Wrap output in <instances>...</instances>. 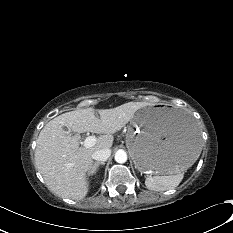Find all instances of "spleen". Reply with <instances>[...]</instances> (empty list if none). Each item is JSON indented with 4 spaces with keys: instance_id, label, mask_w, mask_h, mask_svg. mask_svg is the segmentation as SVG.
Wrapping results in <instances>:
<instances>
[{
    "instance_id": "3e777b00",
    "label": "spleen",
    "mask_w": 233,
    "mask_h": 233,
    "mask_svg": "<svg viewBox=\"0 0 233 233\" xmlns=\"http://www.w3.org/2000/svg\"><path fill=\"white\" fill-rule=\"evenodd\" d=\"M182 178L183 174L181 172L166 176H148L145 180V185L150 190L165 191L177 187Z\"/></svg>"
}]
</instances>
